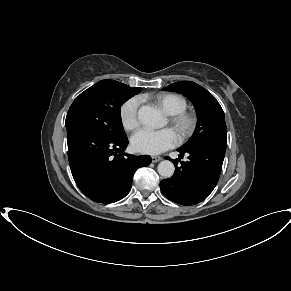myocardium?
I'll return each instance as SVG.
<instances>
[{
    "mask_svg": "<svg viewBox=\"0 0 291 291\" xmlns=\"http://www.w3.org/2000/svg\"><path fill=\"white\" fill-rule=\"evenodd\" d=\"M169 123L181 142L191 138L198 127V116L194 111L183 110L169 115Z\"/></svg>",
    "mask_w": 291,
    "mask_h": 291,
    "instance_id": "1",
    "label": "myocardium"
}]
</instances>
